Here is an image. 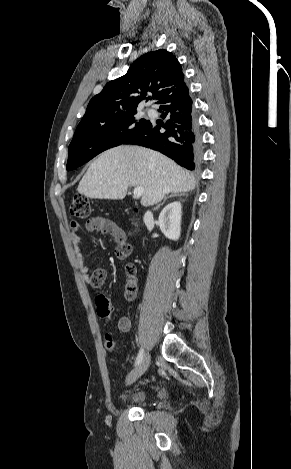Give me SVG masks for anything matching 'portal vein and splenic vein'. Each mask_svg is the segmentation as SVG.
<instances>
[{"instance_id": "obj_1", "label": "portal vein and splenic vein", "mask_w": 291, "mask_h": 469, "mask_svg": "<svg viewBox=\"0 0 291 469\" xmlns=\"http://www.w3.org/2000/svg\"><path fill=\"white\" fill-rule=\"evenodd\" d=\"M144 193V188L143 187H135L133 190V194L135 197H140Z\"/></svg>"}]
</instances>
